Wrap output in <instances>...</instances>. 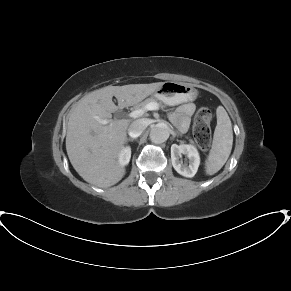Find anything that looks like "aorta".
Listing matches in <instances>:
<instances>
[{
  "mask_svg": "<svg viewBox=\"0 0 291 291\" xmlns=\"http://www.w3.org/2000/svg\"><path fill=\"white\" fill-rule=\"evenodd\" d=\"M149 136L153 143H163L170 136V128L164 123H158L151 129Z\"/></svg>",
  "mask_w": 291,
  "mask_h": 291,
  "instance_id": "762f6f07",
  "label": "aorta"
}]
</instances>
